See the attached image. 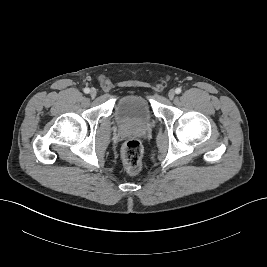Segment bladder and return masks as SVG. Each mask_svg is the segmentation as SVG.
Here are the masks:
<instances>
[{
    "mask_svg": "<svg viewBox=\"0 0 267 267\" xmlns=\"http://www.w3.org/2000/svg\"><path fill=\"white\" fill-rule=\"evenodd\" d=\"M113 114L123 124L145 125L153 119V110L148 98L140 93H129L119 97Z\"/></svg>",
    "mask_w": 267,
    "mask_h": 267,
    "instance_id": "31cf9c89",
    "label": "bladder"
}]
</instances>
